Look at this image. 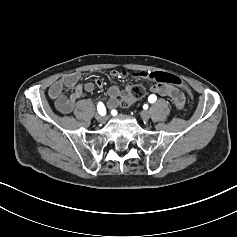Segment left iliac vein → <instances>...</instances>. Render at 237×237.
I'll return each mask as SVG.
<instances>
[{"mask_svg":"<svg viewBox=\"0 0 237 237\" xmlns=\"http://www.w3.org/2000/svg\"><path fill=\"white\" fill-rule=\"evenodd\" d=\"M141 117H142L143 120L148 121L149 118H150V114H149L148 111H142Z\"/></svg>","mask_w":237,"mask_h":237,"instance_id":"obj_1","label":"left iliac vein"}]
</instances>
